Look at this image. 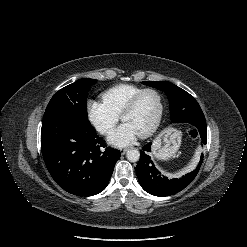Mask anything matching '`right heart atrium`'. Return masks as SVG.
<instances>
[{"mask_svg":"<svg viewBox=\"0 0 247 247\" xmlns=\"http://www.w3.org/2000/svg\"><path fill=\"white\" fill-rule=\"evenodd\" d=\"M86 113L89 122L101 134H107L120 118L103 101L94 99L87 101Z\"/></svg>","mask_w":247,"mask_h":247,"instance_id":"d8ad5b80","label":"right heart atrium"}]
</instances>
